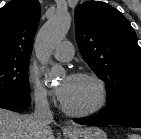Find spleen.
Instances as JSON below:
<instances>
[{"instance_id":"obj_1","label":"spleen","mask_w":141,"mask_h":139,"mask_svg":"<svg viewBox=\"0 0 141 139\" xmlns=\"http://www.w3.org/2000/svg\"><path fill=\"white\" fill-rule=\"evenodd\" d=\"M129 139H141V136L137 135V134H131L128 136Z\"/></svg>"}]
</instances>
